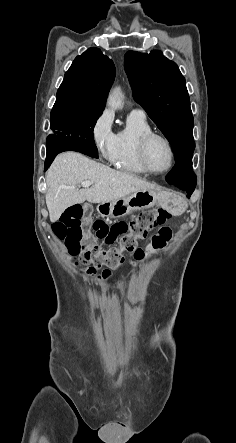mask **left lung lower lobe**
<instances>
[{"instance_id":"left-lung-lower-lobe-1","label":"left lung lower lobe","mask_w":236,"mask_h":443,"mask_svg":"<svg viewBox=\"0 0 236 443\" xmlns=\"http://www.w3.org/2000/svg\"><path fill=\"white\" fill-rule=\"evenodd\" d=\"M166 181L187 192L189 198L196 186V175L192 170V154L176 161L175 166L166 176Z\"/></svg>"}]
</instances>
